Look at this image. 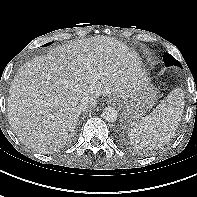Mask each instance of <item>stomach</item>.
Listing matches in <instances>:
<instances>
[{
	"label": "stomach",
	"instance_id": "obj_1",
	"mask_svg": "<svg viewBox=\"0 0 197 197\" xmlns=\"http://www.w3.org/2000/svg\"><path fill=\"white\" fill-rule=\"evenodd\" d=\"M156 101V89L149 82H145L129 96L120 100L123 118L127 122L138 121L155 105Z\"/></svg>",
	"mask_w": 197,
	"mask_h": 197
}]
</instances>
